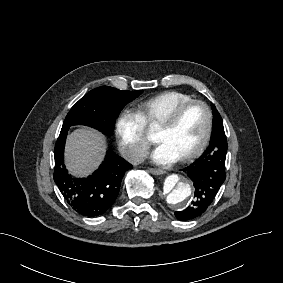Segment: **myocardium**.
<instances>
[{"label":"myocardium","instance_id":"f54148a6","mask_svg":"<svg viewBox=\"0 0 283 283\" xmlns=\"http://www.w3.org/2000/svg\"><path fill=\"white\" fill-rule=\"evenodd\" d=\"M200 105L206 114V129L205 133L203 136L202 141L200 144L193 149L192 151L182 155L178 159L180 161H188L190 159H193L200 155L208 146L211 138V132H212V125H213V113L209 105L199 99H191L189 101L183 102L174 108H172L165 117L161 118L160 121L158 122V127L164 128L165 130L171 129L178 119L181 117V115L185 112L187 108H189L191 105Z\"/></svg>","mask_w":283,"mask_h":283}]
</instances>
